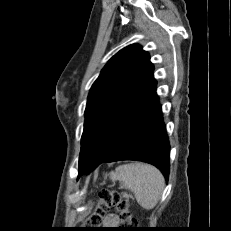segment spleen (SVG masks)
I'll return each instance as SVG.
<instances>
[{"label": "spleen", "mask_w": 231, "mask_h": 231, "mask_svg": "<svg viewBox=\"0 0 231 231\" xmlns=\"http://www.w3.org/2000/svg\"><path fill=\"white\" fill-rule=\"evenodd\" d=\"M110 178L119 180L124 188L133 192L138 204L146 210L156 206L165 185L164 177L156 167L139 162L117 167Z\"/></svg>", "instance_id": "obj_1"}]
</instances>
